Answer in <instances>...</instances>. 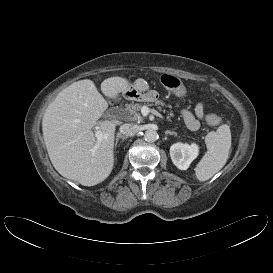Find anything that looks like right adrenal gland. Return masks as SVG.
Segmentation results:
<instances>
[{
	"mask_svg": "<svg viewBox=\"0 0 273 273\" xmlns=\"http://www.w3.org/2000/svg\"><path fill=\"white\" fill-rule=\"evenodd\" d=\"M127 138H128L127 136H123L120 133H118L117 137H116L115 148L117 147V144H118V142H119L120 139L126 140Z\"/></svg>",
	"mask_w": 273,
	"mask_h": 273,
	"instance_id": "obj_1",
	"label": "right adrenal gland"
}]
</instances>
